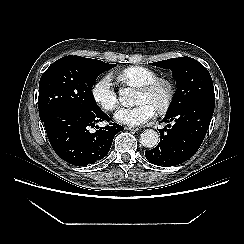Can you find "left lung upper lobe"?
Listing matches in <instances>:
<instances>
[{
    "mask_svg": "<svg viewBox=\"0 0 244 244\" xmlns=\"http://www.w3.org/2000/svg\"><path fill=\"white\" fill-rule=\"evenodd\" d=\"M151 65L171 70L177 79L178 88L168 112L195 100L215 101L212 78L208 70L197 60L190 57H179L151 63Z\"/></svg>",
    "mask_w": 244,
    "mask_h": 244,
    "instance_id": "5c2ea615",
    "label": "left lung upper lobe"
}]
</instances>
